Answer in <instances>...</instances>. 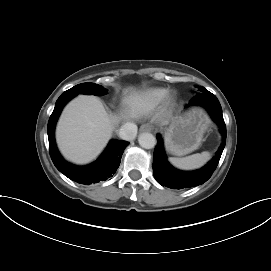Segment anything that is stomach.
Returning <instances> with one entry per match:
<instances>
[{"instance_id":"obj_1","label":"stomach","mask_w":271,"mask_h":271,"mask_svg":"<svg viewBox=\"0 0 271 271\" xmlns=\"http://www.w3.org/2000/svg\"><path fill=\"white\" fill-rule=\"evenodd\" d=\"M210 123L206 112L199 107L176 117L165 132L166 150L173 155L183 156L198 149Z\"/></svg>"}]
</instances>
